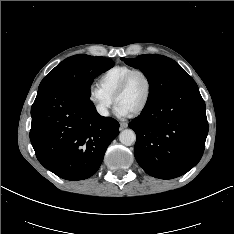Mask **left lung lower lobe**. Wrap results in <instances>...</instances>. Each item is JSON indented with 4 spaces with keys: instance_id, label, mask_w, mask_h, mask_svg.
<instances>
[{
    "instance_id": "left-lung-lower-lobe-1",
    "label": "left lung lower lobe",
    "mask_w": 234,
    "mask_h": 234,
    "mask_svg": "<svg viewBox=\"0 0 234 234\" xmlns=\"http://www.w3.org/2000/svg\"><path fill=\"white\" fill-rule=\"evenodd\" d=\"M205 109L194 81L144 109L129 123L137 136L135 158L147 174L172 179L200 161L208 134Z\"/></svg>"
}]
</instances>
